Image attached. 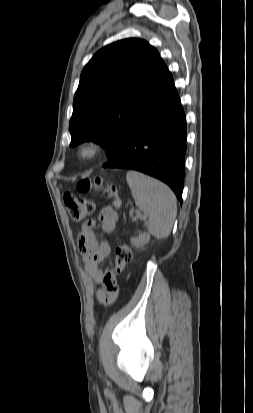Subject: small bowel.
Listing matches in <instances>:
<instances>
[{
  "mask_svg": "<svg viewBox=\"0 0 253 413\" xmlns=\"http://www.w3.org/2000/svg\"><path fill=\"white\" fill-rule=\"evenodd\" d=\"M100 228L104 233L114 231L117 222V213L109 206H105L99 214ZM78 248L84 259L86 273L98 285H104V289L99 288L97 298L103 302L105 309H110L118 299L120 293L118 274L111 271L104 272L100 263L111 253V246L108 241H98L93 222L82 226L78 235Z\"/></svg>",
  "mask_w": 253,
  "mask_h": 413,
  "instance_id": "1",
  "label": "small bowel"
}]
</instances>
